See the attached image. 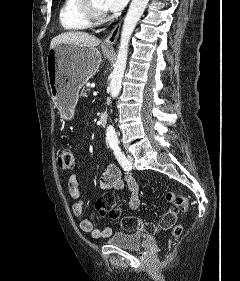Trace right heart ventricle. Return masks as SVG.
I'll return each instance as SVG.
<instances>
[{
    "instance_id": "obj_1",
    "label": "right heart ventricle",
    "mask_w": 240,
    "mask_h": 281,
    "mask_svg": "<svg viewBox=\"0 0 240 281\" xmlns=\"http://www.w3.org/2000/svg\"><path fill=\"white\" fill-rule=\"evenodd\" d=\"M81 0H64L59 11V21L64 30L81 31L91 24L81 12Z\"/></svg>"
}]
</instances>
